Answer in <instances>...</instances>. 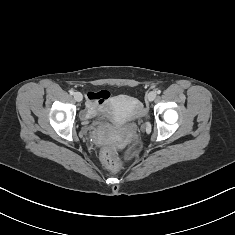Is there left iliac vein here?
Here are the masks:
<instances>
[{
    "instance_id": "left-iliac-vein-1",
    "label": "left iliac vein",
    "mask_w": 235,
    "mask_h": 235,
    "mask_svg": "<svg viewBox=\"0 0 235 235\" xmlns=\"http://www.w3.org/2000/svg\"><path fill=\"white\" fill-rule=\"evenodd\" d=\"M147 98L149 101H153L156 98V92L155 91L149 92Z\"/></svg>"
}]
</instances>
